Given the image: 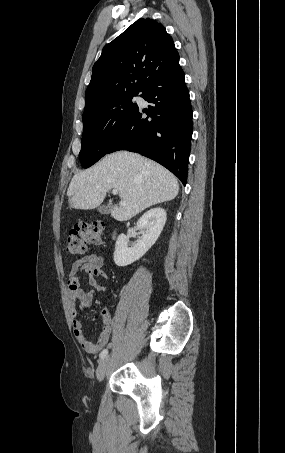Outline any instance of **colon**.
Masks as SVG:
<instances>
[{
    "label": "colon",
    "instance_id": "5ec220e1",
    "mask_svg": "<svg viewBox=\"0 0 285 453\" xmlns=\"http://www.w3.org/2000/svg\"><path fill=\"white\" fill-rule=\"evenodd\" d=\"M105 225L101 221L79 223L69 232L66 241V252L78 255L86 251L88 244H98L104 235Z\"/></svg>",
    "mask_w": 285,
    "mask_h": 453
}]
</instances>
